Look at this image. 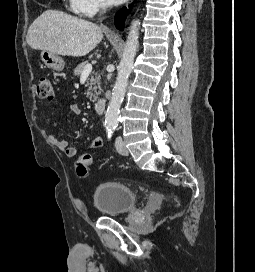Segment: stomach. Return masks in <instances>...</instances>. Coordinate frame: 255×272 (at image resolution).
I'll return each mask as SVG.
<instances>
[{
	"label": "stomach",
	"mask_w": 255,
	"mask_h": 272,
	"mask_svg": "<svg viewBox=\"0 0 255 272\" xmlns=\"http://www.w3.org/2000/svg\"><path fill=\"white\" fill-rule=\"evenodd\" d=\"M40 56L46 67L55 71H62L64 69L65 63L58 54L42 50Z\"/></svg>",
	"instance_id": "1"
}]
</instances>
